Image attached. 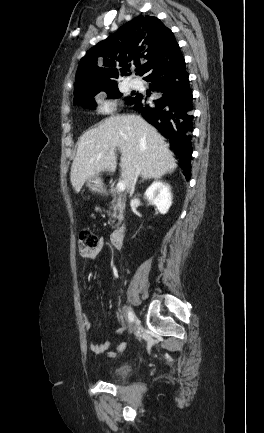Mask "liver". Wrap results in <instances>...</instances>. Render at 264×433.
Returning <instances> with one entry per match:
<instances>
[{
	"instance_id": "6515ba94",
	"label": "liver",
	"mask_w": 264,
	"mask_h": 433,
	"mask_svg": "<svg viewBox=\"0 0 264 433\" xmlns=\"http://www.w3.org/2000/svg\"><path fill=\"white\" fill-rule=\"evenodd\" d=\"M117 148L121 151L119 166L127 189L137 168L143 177L157 179L177 167L164 138L142 117L112 116L80 137L70 173L76 193L89 178L102 171L115 172Z\"/></svg>"
}]
</instances>
